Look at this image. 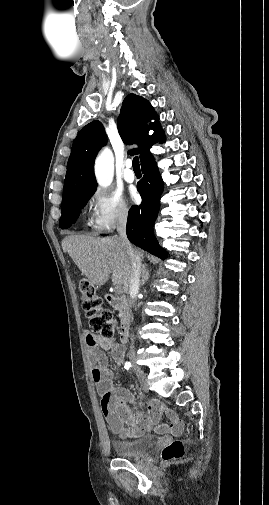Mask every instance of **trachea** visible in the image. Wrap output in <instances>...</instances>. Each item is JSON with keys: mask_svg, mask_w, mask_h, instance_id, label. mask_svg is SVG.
<instances>
[{"mask_svg": "<svg viewBox=\"0 0 269 505\" xmlns=\"http://www.w3.org/2000/svg\"><path fill=\"white\" fill-rule=\"evenodd\" d=\"M133 169L140 170L139 158L136 156L133 158Z\"/></svg>", "mask_w": 269, "mask_h": 505, "instance_id": "trachea-1", "label": "trachea"}]
</instances>
